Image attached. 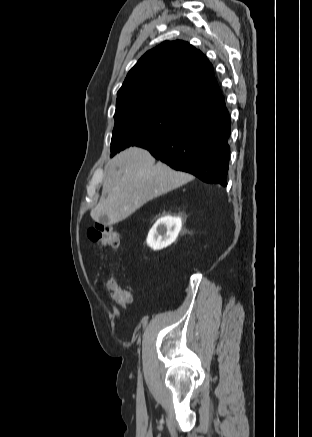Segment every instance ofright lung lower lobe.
<instances>
[{
    "label": "right lung lower lobe",
    "mask_w": 312,
    "mask_h": 437,
    "mask_svg": "<svg viewBox=\"0 0 312 437\" xmlns=\"http://www.w3.org/2000/svg\"><path fill=\"white\" fill-rule=\"evenodd\" d=\"M230 116L224 97L196 111L179 130L141 145L176 170L191 173L210 184L227 186Z\"/></svg>",
    "instance_id": "obj_1"
}]
</instances>
